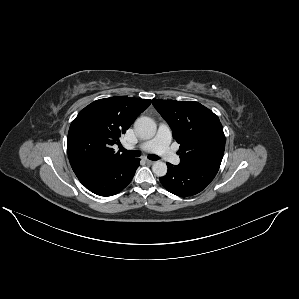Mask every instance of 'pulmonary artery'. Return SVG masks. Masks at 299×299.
<instances>
[{
	"label": "pulmonary artery",
	"mask_w": 299,
	"mask_h": 299,
	"mask_svg": "<svg viewBox=\"0 0 299 299\" xmlns=\"http://www.w3.org/2000/svg\"><path fill=\"white\" fill-rule=\"evenodd\" d=\"M170 141L171 130L168 125L162 124L158 129L157 135L153 139L140 144L139 148L146 152L156 153L164 160L178 165L180 163V158L171 150Z\"/></svg>",
	"instance_id": "1"
}]
</instances>
